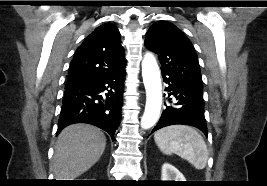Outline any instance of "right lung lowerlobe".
Instances as JSON below:
<instances>
[{
  "label": "right lung lower lobe",
  "instance_id": "right-lung-lower-lobe-1",
  "mask_svg": "<svg viewBox=\"0 0 267 186\" xmlns=\"http://www.w3.org/2000/svg\"><path fill=\"white\" fill-rule=\"evenodd\" d=\"M125 65L113 71L67 81L58 133L74 123H89L114 140L120 124ZM107 91L104 95H101Z\"/></svg>",
  "mask_w": 267,
  "mask_h": 186
}]
</instances>
